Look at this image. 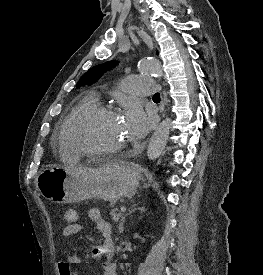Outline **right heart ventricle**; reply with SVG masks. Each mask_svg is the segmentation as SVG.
<instances>
[{
  "mask_svg": "<svg viewBox=\"0 0 263 275\" xmlns=\"http://www.w3.org/2000/svg\"><path fill=\"white\" fill-rule=\"evenodd\" d=\"M95 104V96H86L66 117L61 131V153L63 156L70 159H77L79 157V154L72 148L69 141L67 140V135L76 117Z\"/></svg>",
  "mask_w": 263,
  "mask_h": 275,
  "instance_id": "right-heart-ventricle-1",
  "label": "right heart ventricle"
}]
</instances>
